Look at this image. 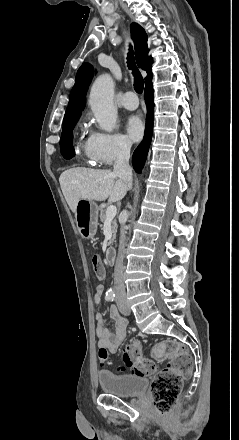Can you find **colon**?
I'll list each match as a JSON object with an SVG mask.
<instances>
[{"mask_svg": "<svg viewBox=\"0 0 239 440\" xmlns=\"http://www.w3.org/2000/svg\"><path fill=\"white\" fill-rule=\"evenodd\" d=\"M91 265L95 278L104 279L105 272L99 257L94 256ZM155 357L165 362V367L157 372L154 362L142 356L140 343L134 340L126 346L122 358L125 367L135 374H154L151 390L153 405L160 414H165L174 407L184 380L192 373L193 362L184 346L171 341L159 343L155 348ZM99 360L102 365L109 363L106 350H99ZM125 367H117L116 371L122 373Z\"/></svg>", "mask_w": 239, "mask_h": 440, "instance_id": "colon-1", "label": "colon"}]
</instances>
